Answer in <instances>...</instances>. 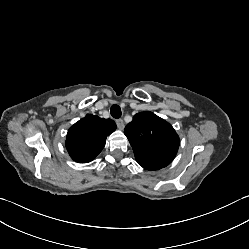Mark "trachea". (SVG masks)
I'll list each match as a JSON object with an SVG mask.
<instances>
[{
	"mask_svg": "<svg viewBox=\"0 0 249 249\" xmlns=\"http://www.w3.org/2000/svg\"><path fill=\"white\" fill-rule=\"evenodd\" d=\"M111 116L118 119L121 117V108L118 105H113L110 110Z\"/></svg>",
	"mask_w": 249,
	"mask_h": 249,
	"instance_id": "obj_1",
	"label": "trachea"
}]
</instances>
